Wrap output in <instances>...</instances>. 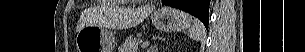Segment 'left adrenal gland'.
I'll return each instance as SVG.
<instances>
[{
    "label": "left adrenal gland",
    "instance_id": "a2214340",
    "mask_svg": "<svg viewBox=\"0 0 305 52\" xmlns=\"http://www.w3.org/2000/svg\"><path fill=\"white\" fill-rule=\"evenodd\" d=\"M157 51V45H152L150 48H149V52H155Z\"/></svg>",
    "mask_w": 305,
    "mask_h": 52
}]
</instances>
